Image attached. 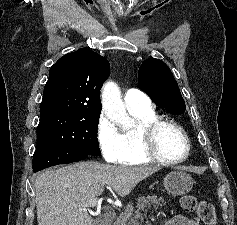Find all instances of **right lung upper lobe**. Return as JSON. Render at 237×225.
<instances>
[{
	"mask_svg": "<svg viewBox=\"0 0 237 225\" xmlns=\"http://www.w3.org/2000/svg\"><path fill=\"white\" fill-rule=\"evenodd\" d=\"M109 72V62L85 48L61 57L50 68L40 120L60 115L100 114V88Z\"/></svg>",
	"mask_w": 237,
	"mask_h": 225,
	"instance_id": "right-lung-upper-lobe-1",
	"label": "right lung upper lobe"
}]
</instances>
